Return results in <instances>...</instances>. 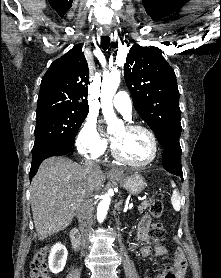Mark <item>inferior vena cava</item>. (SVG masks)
I'll use <instances>...</instances> for the list:
<instances>
[{
  "instance_id": "obj_1",
  "label": "inferior vena cava",
  "mask_w": 221,
  "mask_h": 278,
  "mask_svg": "<svg viewBox=\"0 0 221 278\" xmlns=\"http://www.w3.org/2000/svg\"><path fill=\"white\" fill-rule=\"evenodd\" d=\"M85 168L89 173H96L100 170V167L96 161H86ZM93 189L90 185H87L83 192L81 201L78 207V220L80 231L84 237V245L87 246L88 236L93 224Z\"/></svg>"
}]
</instances>
